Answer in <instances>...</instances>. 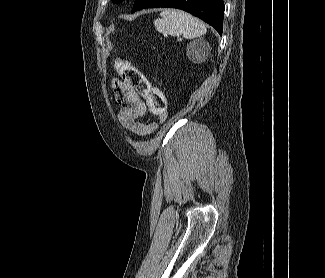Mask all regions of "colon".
Returning <instances> with one entry per match:
<instances>
[{
  "instance_id": "colon-1",
  "label": "colon",
  "mask_w": 325,
  "mask_h": 278,
  "mask_svg": "<svg viewBox=\"0 0 325 278\" xmlns=\"http://www.w3.org/2000/svg\"><path fill=\"white\" fill-rule=\"evenodd\" d=\"M114 68L123 81L144 97L151 113L159 116L165 113L166 101L162 91L154 86L138 68L121 58L114 61Z\"/></svg>"
}]
</instances>
